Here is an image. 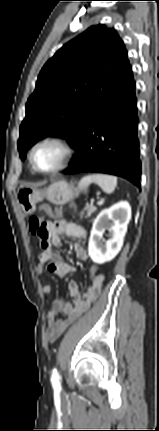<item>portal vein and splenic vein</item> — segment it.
Returning <instances> with one entry per match:
<instances>
[{"instance_id": "portal-vein-and-splenic-vein-1", "label": "portal vein and splenic vein", "mask_w": 159, "mask_h": 431, "mask_svg": "<svg viewBox=\"0 0 159 431\" xmlns=\"http://www.w3.org/2000/svg\"><path fill=\"white\" fill-rule=\"evenodd\" d=\"M98 204H99V205L103 204V201H99V202H98Z\"/></svg>"}]
</instances>
